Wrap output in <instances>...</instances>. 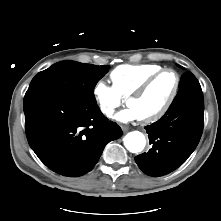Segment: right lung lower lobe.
<instances>
[{
    "label": "right lung lower lobe",
    "instance_id": "98d812e1",
    "mask_svg": "<svg viewBox=\"0 0 221 221\" xmlns=\"http://www.w3.org/2000/svg\"><path fill=\"white\" fill-rule=\"evenodd\" d=\"M24 113L30 147L48 168L64 176L92 170L105 145L122 136L97 104L33 95L24 97Z\"/></svg>",
    "mask_w": 221,
    "mask_h": 221
}]
</instances>
